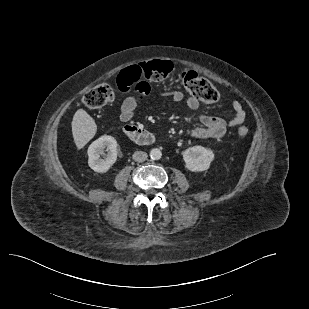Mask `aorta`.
Returning <instances> with one entry per match:
<instances>
[{
	"label": "aorta",
	"instance_id": "1",
	"mask_svg": "<svg viewBox=\"0 0 309 309\" xmlns=\"http://www.w3.org/2000/svg\"><path fill=\"white\" fill-rule=\"evenodd\" d=\"M150 157L151 159L153 160H158L162 157V152L160 149L158 148H153L151 151H150Z\"/></svg>",
	"mask_w": 309,
	"mask_h": 309
}]
</instances>
